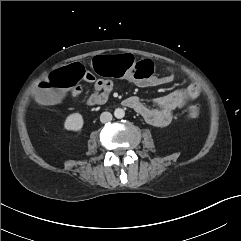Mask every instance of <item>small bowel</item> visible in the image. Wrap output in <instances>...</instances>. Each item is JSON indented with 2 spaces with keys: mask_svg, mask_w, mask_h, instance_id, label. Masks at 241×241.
I'll return each instance as SVG.
<instances>
[{
  "mask_svg": "<svg viewBox=\"0 0 241 241\" xmlns=\"http://www.w3.org/2000/svg\"><path fill=\"white\" fill-rule=\"evenodd\" d=\"M86 82L93 83V91L86 99V105L90 107L104 105L114 88V82L110 79L96 78L93 72L86 71L80 78ZM172 76L150 77L138 82L141 87H154L169 83ZM73 97H78L82 93V87L75 85L71 90ZM200 95V86L197 83H191L187 87L177 89L167 95L154 98L151 106L146 105L138 96L132 95L124 100V105L134 110L147 123L156 127H164L171 123L173 112L182 109L188 101L198 98Z\"/></svg>",
  "mask_w": 241,
  "mask_h": 241,
  "instance_id": "small-bowel-1",
  "label": "small bowel"
}]
</instances>
